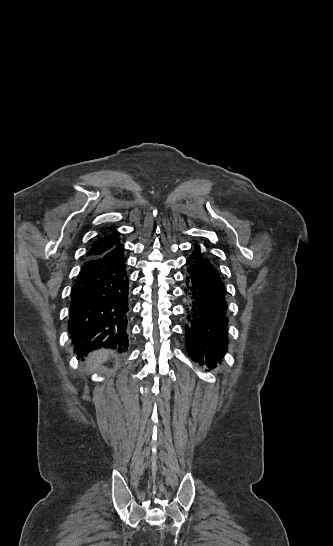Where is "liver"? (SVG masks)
<instances>
[{"label": "liver", "mask_w": 333, "mask_h": 546, "mask_svg": "<svg viewBox=\"0 0 333 546\" xmlns=\"http://www.w3.org/2000/svg\"><path fill=\"white\" fill-rule=\"evenodd\" d=\"M112 354V351L109 350H99L96 352H93L88 360V371L91 372L93 369L101 364L102 362H105L110 355Z\"/></svg>", "instance_id": "6515ba94"}]
</instances>
